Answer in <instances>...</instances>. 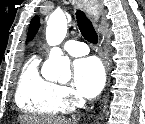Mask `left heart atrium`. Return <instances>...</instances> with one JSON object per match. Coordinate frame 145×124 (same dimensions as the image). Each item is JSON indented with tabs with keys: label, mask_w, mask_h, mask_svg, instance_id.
Listing matches in <instances>:
<instances>
[{
	"label": "left heart atrium",
	"mask_w": 145,
	"mask_h": 124,
	"mask_svg": "<svg viewBox=\"0 0 145 124\" xmlns=\"http://www.w3.org/2000/svg\"><path fill=\"white\" fill-rule=\"evenodd\" d=\"M74 84L85 97L96 96L103 88L105 75L100 62L94 57L75 61L73 66Z\"/></svg>",
	"instance_id": "left-heart-atrium-1"
}]
</instances>
